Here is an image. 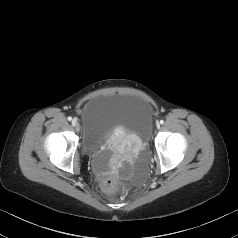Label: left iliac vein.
<instances>
[{
    "label": "left iliac vein",
    "instance_id": "obj_1",
    "mask_svg": "<svg viewBox=\"0 0 238 238\" xmlns=\"http://www.w3.org/2000/svg\"><path fill=\"white\" fill-rule=\"evenodd\" d=\"M156 126H157V128H160V124L159 123H157Z\"/></svg>",
    "mask_w": 238,
    "mask_h": 238
}]
</instances>
